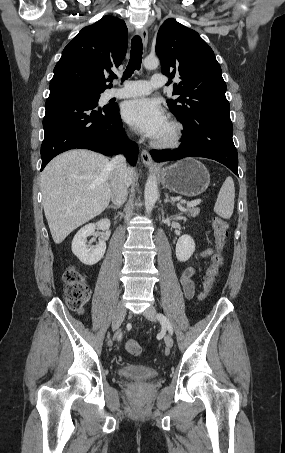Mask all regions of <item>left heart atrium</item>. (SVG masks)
<instances>
[{
	"instance_id": "1",
	"label": "left heart atrium",
	"mask_w": 285,
	"mask_h": 453,
	"mask_svg": "<svg viewBox=\"0 0 285 453\" xmlns=\"http://www.w3.org/2000/svg\"><path fill=\"white\" fill-rule=\"evenodd\" d=\"M123 119L143 135L156 139L167 120L159 103L150 98L129 100L122 107Z\"/></svg>"
}]
</instances>
